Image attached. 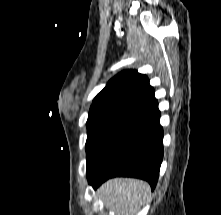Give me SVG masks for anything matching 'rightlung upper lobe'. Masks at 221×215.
<instances>
[{"instance_id": "cb5924a9", "label": "right lung upper lobe", "mask_w": 221, "mask_h": 215, "mask_svg": "<svg viewBox=\"0 0 221 215\" xmlns=\"http://www.w3.org/2000/svg\"><path fill=\"white\" fill-rule=\"evenodd\" d=\"M154 101V89L147 76L136 70H124L107 83L93 104H120L138 110Z\"/></svg>"}]
</instances>
